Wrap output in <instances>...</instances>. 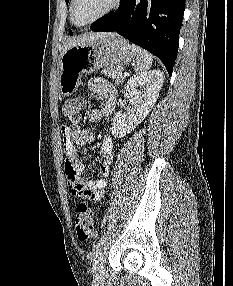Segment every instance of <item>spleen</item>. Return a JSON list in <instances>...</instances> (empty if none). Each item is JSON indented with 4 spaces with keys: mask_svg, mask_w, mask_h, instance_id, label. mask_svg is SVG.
<instances>
[{
    "mask_svg": "<svg viewBox=\"0 0 233 286\" xmlns=\"http://www.w3.org/2000/svg\"><path fill=\"white\" fill-rule=\"evenodd\" d=\"M132 49L136 55L135 71L138 73L147 72L152 65L153 56L137 45L132 44Z\"/></svg>",
    "mask_w": 233,
    "mask_h": 286,
    "instance_id": "spleen-1",
    "label": "spleen"
}]
</instances>
